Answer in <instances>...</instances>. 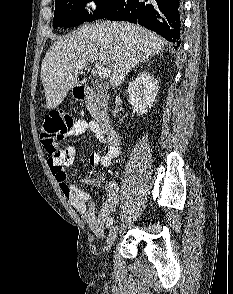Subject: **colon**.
<instances>
[{"label": "colon", "instance_id": "5ec220e1", "mask_svg": "<svg viewBox=\"0 0 233 294\" xmlns=\"http://www.w3.org/2000/svg\"><path fill=\"white\" fill-rule=\"evenodd\" d=\"M73 124V117L63 110H52L45 115L41 125V140L50 157L60 156L59 142Z\"/></svg>", "mask_w": 233, "mask_h": 294}]
</instances>
